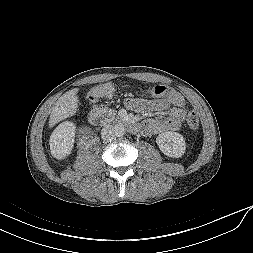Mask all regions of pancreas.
I'll use <instances>...</instances> for the list:
<instances>
[{"label":"pancreas","instance_id":"cf45deb5","mask_svg":"<svg viewBox=\"0 0 253 253\" xmlns=\"http://www.w3.org/2000/svg\"><path fill=\"white\" fill-rule=\"evenodd\" d=\"M104 117H105V122H108V123L114 122L118 119V117L116 116V113L112 110H107Z\"/></svg>","mask_w":253,"mask_h":253}]
</instances>
